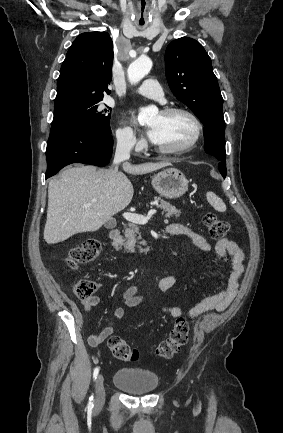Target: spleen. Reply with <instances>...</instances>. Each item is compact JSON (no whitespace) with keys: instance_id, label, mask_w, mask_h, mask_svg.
I'll return each instance as SVG.
<instances>
[{"instance_id":"spleen-1","label":"spleen","mask_w":283,"mask_h":433,"mask_svg":"<svg viewBox=\"0 0 283 433\" xmlns=\"http://www.w3.org/2000/svg\"><path fill=\"white\" fill-rule=\"evenodd\" d=\"M206 198L209 204L214 206L215 210H219V212H224V210H226L225 202H223L222 198H219L215 192H207Z\"/></svg>"}]
</instances>
